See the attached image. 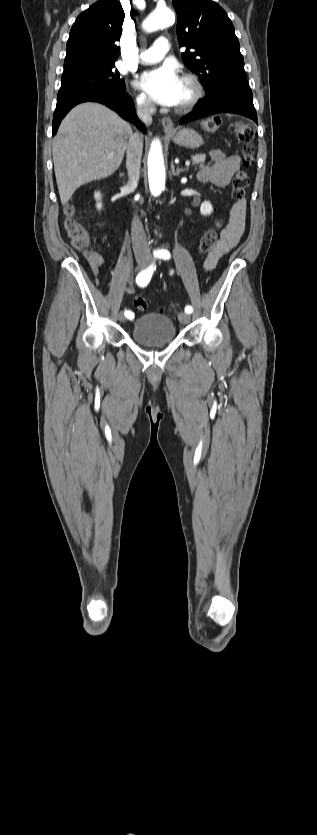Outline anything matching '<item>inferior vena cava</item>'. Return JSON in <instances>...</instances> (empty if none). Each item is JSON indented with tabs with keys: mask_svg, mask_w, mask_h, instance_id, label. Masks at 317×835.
I'll return each mask as SVG.
<instances>
[{
	"mask_svg": "<svg viewBox=\"0 0 317 835\" xmlns=\"http://www.w3.org/2000/svg\"><path fill=\"white\" fill-rule=\"evenodd\" d=\"M137 115L139 119L146 125L152 124V115L156 112L155 105L149 100H143L137 104ZM126 151V168L128 171L129 181L128 188L134 190L137 187L141 157L143 152L142 136L135 133L129 139ZM131 238L133 251L136 258L149 259L151 257L150 248L147 242L146 234L141 221L137 215L134 216L131 226Z\"/></svg>",
	"mask_w": 317,
	"mask_h": 835,
	"instance_id": "inferior-vena-cava-1",
	"label": "inferior vena cava"
}]
</instances>
